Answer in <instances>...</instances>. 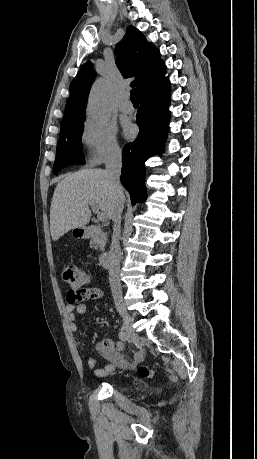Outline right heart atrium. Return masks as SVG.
I'll return each instance as SVG.
<instances>
[{"mask_svg": "<svg viewBox=\"0 0 257 459\" xmlns=\"http://www.w3.org/2000/svg\"><path fill=\"white\" fill-rule=\"evenodd\" d=\"M81 139L91 164H100L120 156L117 130L109 123L87 120L81 132Z\"/></svg>", "mask_w": 257, "mask_h": 459, "instance_id": "d8ad5b80", "label": "right heart atrium"}]
</instances>
